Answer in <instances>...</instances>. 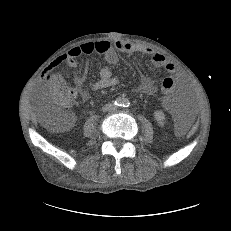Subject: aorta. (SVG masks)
<instances>
[{"instance_id":"762f6f07","label":"aorta","mask_w":231,"mask_h":231,"mask_svg":"<svg viewBox=\"0 0 231 231\" xmlns=\"http://www.w3.org/2000/svg\"><path fill=\"white\" fill-rule=\"evenodd\" d=\"M120 104L123 105V106H125V105H128L129 102H128L127 99H121V100H120Z\"/></svg>"}]
</instances>
